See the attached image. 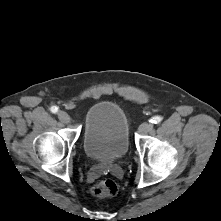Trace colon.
<instances>
[{
	"label": "colon",
	"instance_id": "1",
	"mask_svg": "<svg viewBox=\"0 0 221 221\" xmlns=\"http://www.w3.org/2000/svg\"><path fill=\"white\" fill-rule=\"evenodd\" d=\"M118 191V186L115 181L111 179L101 180L91 188L92 195L96 197H111Z\"/></svg>",
	"mask_w": 221,
	"mask_h": 221
}]
</instances>
